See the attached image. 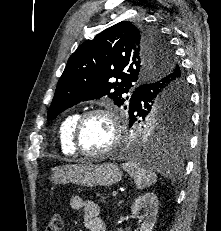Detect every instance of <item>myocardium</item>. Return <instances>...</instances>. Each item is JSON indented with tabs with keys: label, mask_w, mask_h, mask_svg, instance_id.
<instances>
[{
	"label": "myocardium",
	"mask_w": 221,
	"mask_h": 231,
	"mask_svg": "<svg viewBox=\"0 0 221 231\" xmlns=\"http://www.w3.org/2000/svg\"><path fill=\"white\" fill-rule=\"evenodd\" d=\"M94 115H104L109 119L112 129H113V139L108 147L102 150H99V151L89 152V151L83 150L80 147L79 134H80V130L84 122L89 117L94 116ZM122 135L123 134H122L121 120H120V117L117 111L113 109L112 107H95L79 115L72 129L71 143H72L73 149L78 154L82 156H86V157L97 158V157L106 156L112 153L113 151H115L119 147L122 141Z\"/></svg>",
	"instance_id": "myocardium-1"
}]
</instances>
